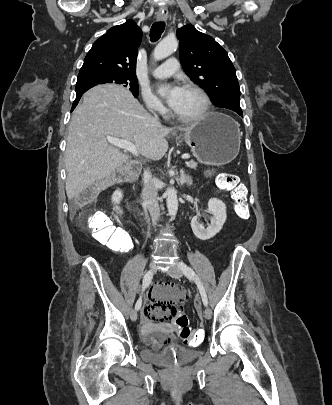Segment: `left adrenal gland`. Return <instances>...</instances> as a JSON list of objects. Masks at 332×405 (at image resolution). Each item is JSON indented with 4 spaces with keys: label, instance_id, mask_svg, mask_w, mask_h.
Listing matches in <instances>:
<instances>
[{
    "label": "left adrenal gland",
    "instance_id": "left-adrenal-gland-1",
    "mask_svg": "<svg viewBox=\"0 0 332 405\" xmlns=\"http://www.w3.org/2000/svg\"><path fill=\"white\" fill-rule=\"evenodd\" d=\"M179 183L181 186H183L184 184H187L188 186L192 185V179L189 175L185 174L184 169H181L180 171Z\"/></svg>",
    "mask_w": 332,
    "mask_h": 405
}]
</instances>
